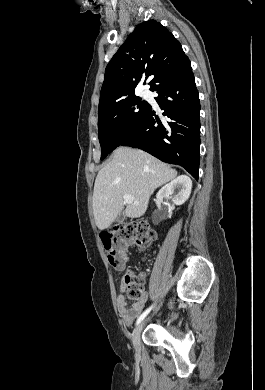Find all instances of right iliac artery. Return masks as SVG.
I'll list each match as a JSON object with an SVG mask.
<instances>
[{
    "label": "right iliac artery",
    "instance_id": "right-iliac-artery-1",
    "mask_svg": "<svg viewBox=\"0 0 265 390\" xmlns=\"http://www.w3.org/2000/svg\"><path fill=\"white\" fill-rule=\"evenodd\" d=\"M153 308V305L151 307H149L147 310H145L137 319L136 321V325H138L147 315L148 313L151 311V309Z\"/></svg>",
    "mask_w": 265,
    "mask_h": 390
}]
</instances>
